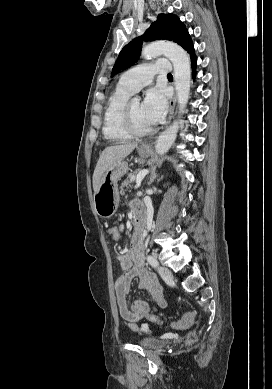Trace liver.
<instances>
[{"mask_svg": "<svg viewBox=\"0 0 272 389\" xmlns=\"http://www.w3.org/2000/svg\"><path fill=\"white\" fill-rule=\"evenodd\" d=\"M137 146L138 144L135 142H126L106 147L102 151L93 173L94 192H97L106 170L112 165L122 161L125 157L132 153Z\"/></svg>", "mask_w": 272, "mask_h": 389, "instance_id": "obj_1", "label": "liver"}]
</instances>
